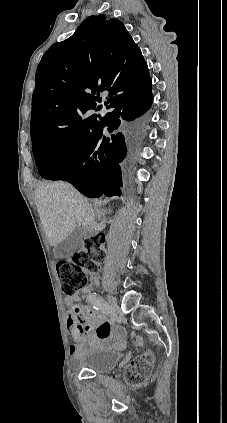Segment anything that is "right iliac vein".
I'll return each instance as SVG.
<instances>
[{
  "mask_svg": "<svg viewBox=\"0 0 227 423\" xmlns=\"http://www.w3.org/2000/svg\"><path fill=\"white\" fill-rule=\"evenodd\" d=\"M109 304L113 310L117 309V303L114 298L108 297Z\"/></svg>",
  "mask_w": 227,
  "mask_h": 423,
  "instance_id": "right-iliac-vein-1",
  "label": "right iliac vein"
}]
</instances>
